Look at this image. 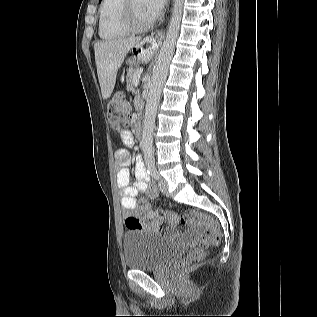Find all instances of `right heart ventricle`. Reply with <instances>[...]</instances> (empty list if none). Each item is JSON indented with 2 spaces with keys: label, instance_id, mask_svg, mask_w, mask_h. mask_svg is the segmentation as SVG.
<instances>
[{
  "label": "right heart ventricle",
  "instance_id": "obj_1",
  "mask_svg": "<svg viewBox=\"0 0 317 317\" xmlns=\"http://www.w3.org/2000/svg\"><path fill=\"white\" fill-rule=\"evenodd\" d=\"M122 0H102L99 9V36L106 41L117 40L130 32L120 20Z\"/></svg>",
  "mask_w": 317,
  "mask_h": 317
}]
</instances>
